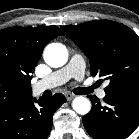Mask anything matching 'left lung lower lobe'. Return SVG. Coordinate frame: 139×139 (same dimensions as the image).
Segmentation results:
<instances>
[{
	"instance_id": "obj_1",
	"label": "left lung lower lobe",
	"mask_w": 139,
	"mask_h": 139,
	"mask_svg": "<svg viewBox=\"0 0 139 139\" xmlns=\"http://www.w3.org/2000/svg\"><path fill=\"white\" fill-rule=\"evenodd\" d=\"M91 111L83 117L94 139H126L139 125V86L104 97V103L89 95Z\"/></svg>"
}]
</instances>
